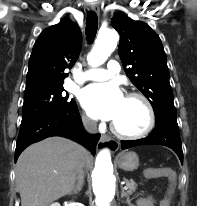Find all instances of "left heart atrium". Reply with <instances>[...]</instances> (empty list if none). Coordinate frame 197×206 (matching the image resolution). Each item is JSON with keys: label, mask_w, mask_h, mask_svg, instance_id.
<instances>
[{"label": "left heart atrium", "mask_w": 197, "mask_h": 206, "mask_svg": "<svg viewBox=\"0 0 197 206\" xmlns=\"http://www.w3.org/2000/svg\"><path fill=\"white\" fill-rule=\"evenodd\" d=\"M80 99L91 117L114 121L125 98L117 84L111 82L89 85L82 91Z\"/></svg>", "instance_id": "obj_1"}]
</instances>
